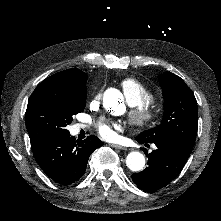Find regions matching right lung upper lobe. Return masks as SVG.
<instances>
[{
    "label": "right lung upper lobe",
    "instance_id": "1",
    "mask_svg": "<svg viewBox=\"0 0 221 221\" xmlns=\"http://www.w3.org/2000/svg\"><path fill=\"white\" fill-rule=\"evenodd\" d=\"M86 80L87 78L83 71L72 68L46 78L39 86H49L60 91L70 92L85 87Z\"/></svg>",
    "mask_w": 221,
    "mask_h": 221
}]
</instances>
